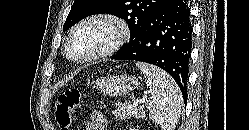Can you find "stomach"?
<instances>
[{"label": "stomach", "mask_w": 249, "mask_h": 130, "mask_svg": "<svg viewBox=\"0 0 249 130\" xmlns=\"http://www.w3.org/2000/svg\"><path fill=\"white\" fill-rule=\"evenodd\" d=\"M139 85L135 76L108 75L93 82V87L108 96H120L133 91Z\"/></svg>", "instance_id": "obj_1"}]
</instances>
